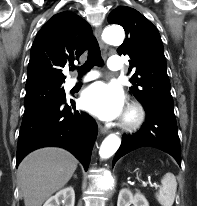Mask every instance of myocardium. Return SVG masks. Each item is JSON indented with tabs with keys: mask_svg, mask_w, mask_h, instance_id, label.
<instances>
[{
	"mask_svg": "<svg viewBox=\"0 0 197 206\" xmlns=\"http://www.w3.org/2000/svg\"><path fill=\"white\" fill-rule=\"evenodd\" d=\"M145 120V112L138 103H131L123 116L121 126L127 131L138 129Z\"/></svg>",
	"mask_w": 197,
	"mask_h": 206,
	"instance_id": "myocardium-1",
	"label": "myocardium"
}]
</instances>
